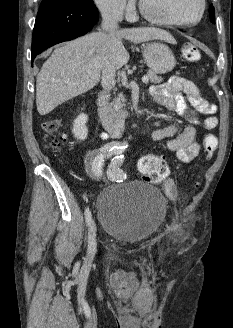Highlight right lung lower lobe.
<instances>
[{
	"instance_id": "right-lung-lower-lobe-1",
	"label": "right lung lower lobe",
	"mask_w": 233,
	"mask_h": 328,
	"mask_svg": "<svg viewBox=\"0 0 233 328\" xmlns=\"http://www.w3.org/2000/svg\"><path fill=\"white\" fill-rule=\"evenodd\" d=\"M98 19L95 5L42 0L33 30L32 61L45 49L84 35Z\"/></svg>"
}]
</instances>
